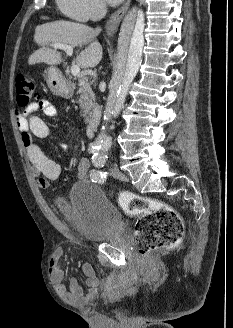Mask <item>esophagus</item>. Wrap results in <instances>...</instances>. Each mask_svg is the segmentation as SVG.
<instances>
[{
  "instance_id": "obj_1",
  "label": "esophagus",
  "mask_w": 233,
  "mask_h": 328,
  "mask_svg": "<svg viewBox=\"0 0 233 328\" xmlns=\"http://www.w3.org/2000/svg\"><path fill=\"white\" fill-rule=\"evenodd\" d=\"M131 0H126L125 3L116 10L108 19L106 24V33L109 37H113L118 29V26L130 6Z\"/></svg>"
}]
</instances>
